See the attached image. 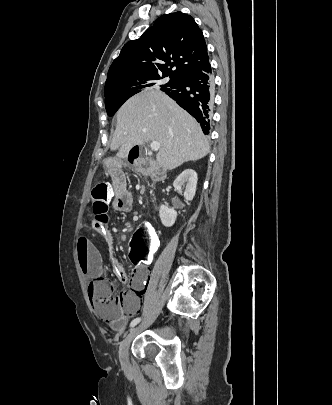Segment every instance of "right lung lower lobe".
I'll return each mask as SVG.
<instances>
[{
    "label": "right lung lower lobe",
    "instance_id": "right-lung-lower-lobe-1",
    "mask_svg": "<svg viewBox=\"0 0 332 405\" xmlns=\"http://www.w3.org/2000/svg\"><path fill=\"white\" fill-rule=\"evenodd\" d=\"M166 93L209 133L213 108L214 81L209 61L180 76L177 86Z\"/></svg>",
    "mask_w": 332,
    "mask_h": 405
}]
</instances>
